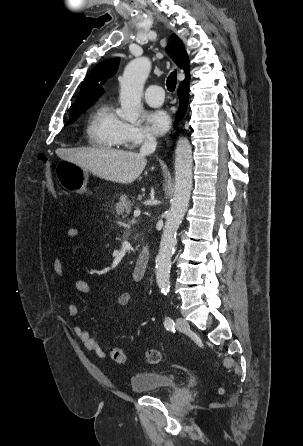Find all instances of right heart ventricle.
<instances>
[{"label":"right heart ventricle","instance_id":"obj_1","mask_svg":"<svg viewBox=\"0 0 303 446\" xmlns=\"http://www.w3.org/2000/svg\"><path fill=\"white\" fill-rule=\"evenodd\" d=\"M123 121L110 103H102L89 116L86 124L87 142L97 148L114 149L123 145L121 127Z\"/></svg>","mask_w":303,"mask_h":446}]
</instances>
